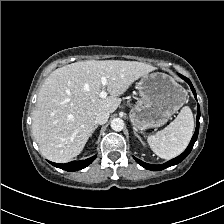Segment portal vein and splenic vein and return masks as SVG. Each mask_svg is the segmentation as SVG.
Listing matches in <instances>:
<instances>
[{"instance_id":"1","label":"portal vein and splenic vein","mask_w":224,"mask_h":224,"mask_svg":"<svg viewBox=\"0 0 224 224\" xmlns=\"http://www.w3.org/2000/svg\"><path fill=\"white\" fill-rule=\"evenodd\" d=\"M101 83H102V91L99 94L100 98H106L107 97V92H106V85H107V78L106 77H101Z\"/></svg>"}]
</instances>
